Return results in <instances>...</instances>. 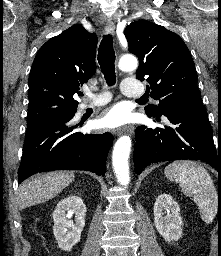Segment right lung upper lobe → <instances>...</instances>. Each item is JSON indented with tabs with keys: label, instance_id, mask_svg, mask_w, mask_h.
I'll list each match as a JSON object with an SVG mask.
<instances>
[{
	"label": "right lung upper lobe",
	"instance_id": "cb5924a9",
	"mask_svg": "<svg viewBox=\"0 0 221 256\" xmlns=\"http://www.w3.org/2000/svg\"><path fill=\"white\" fill-rule=\"evenodd\" d=\"M97 41L95 33L74 25L39 49L29 75L28 116L77 111L73 95L96 71Z\"/></svg>",
	"mask_w": 221,
	"mask_h": 256
}]
</instances>
